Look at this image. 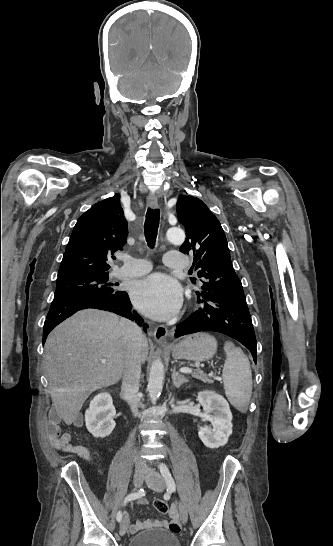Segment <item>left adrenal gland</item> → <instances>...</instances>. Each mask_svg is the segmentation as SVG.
I'll return each instance as SVG.
<instances>
[{
	"label": "left adrenal gland",
	"instance_id": "1",
	"mask_svg": "<svg viewBox=\"0 0 333 546\" xmlns=\"http://www.w3.org/2000/svg\"><path fill=\"white\" fill-rule=\"evenodd\" d=\"M172 381H173V384L174 386H176L177 388H180V386L184 383H187L188 382V379L185 378L184 376L182 375H179L178 372H176L175 368L173 369V372H172Z\"/></svg>",
	"mask_w": 333,
	"mask_h": 546
}]
</instances>
